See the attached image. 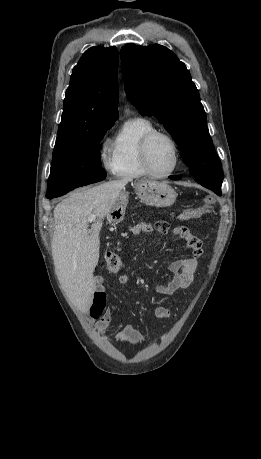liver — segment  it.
<instances>
[{
	"label": "liver",
	"mask_w": 261,
	"mask_h": 459,
	"mask_svg": "<svg viewBox=\"0 0 261 459\" xmlns=\"http://www.w3.org/2000/svg\"><path fill=\"white\" fill-rule=\"evenodd\" d=\"M128 180H113L77 190L54 209L52 255L61 286L81 311H88L96 290L94 270L99 260L102 220L111 211ZM97 220L88 229V217Z\"/></svg>",
	"instance_id": "obj_1"
}]
</instances>
